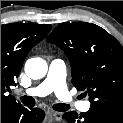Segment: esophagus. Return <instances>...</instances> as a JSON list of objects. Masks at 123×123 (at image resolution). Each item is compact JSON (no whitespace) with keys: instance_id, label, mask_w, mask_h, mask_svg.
<instances>
[{"instance_id":"esophagus-1","label":"esophagus","mask_w":123,"mask_h":123,"mask_svg":"<svg viewBox=\"0 0 123 123\" xmlns=\"http://www.w3.org/2000/svg\"><path fill=\"white\" fill-rule=\"evenodd\" d=\"M50 116L54 118L56 121H61L62 120V113L59 112H48Z\"/></svg>"}]
</instances>
